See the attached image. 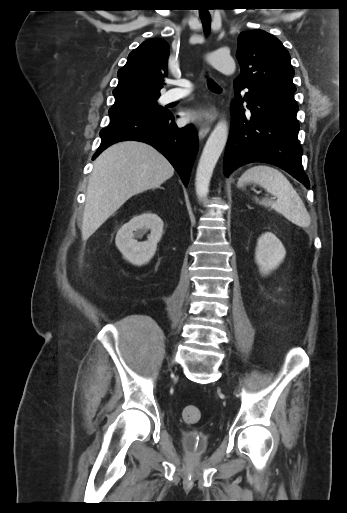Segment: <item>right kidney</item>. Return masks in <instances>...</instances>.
I'll use <instances>...</instances> for the list:
<instances>
[{
  "instance_id": "right-kidney-1",
  "label": "right kidney",
  "mask_w": 347,
  "mask_h": 513,
  "mask_svg": "<svg viewBox=\"0 0 347 513\" xmlns=\"http://www.w3.org/2000/svg\"><path fill=\"white\" fill-rule=\"evenodd\" d=\"M163 221L154 213H144L132 218L117 232L115 243L123 257L133 265L148 263L154 256L163 234ZM151 230L146 241H138L146 230Z\"/></svg>"
}]
</instances>
